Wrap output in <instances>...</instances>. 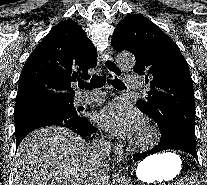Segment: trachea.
<instances>
[{"label": "trachea", "mask_w": 207, "mask_h": 185, "mask_svg": "<svg viewBox=\"0 0 207 185\" xmlns=\"http://www.w3.org/2000/svg\"><path fill=\"white\" fill-rule=\"evenodd\" d=\"M106 80H108V82L111 83L113 87L118 88L119 90L125 89L124 83L121 82V80H119L118 78H115L114 80H109L106 79L105 76H98V75H94L90 83H80L79 88H86L88 90L93 88H100L103 87V85H105Z\"/></svg>", "instance_id": "trachea-1"}]
</instances>
